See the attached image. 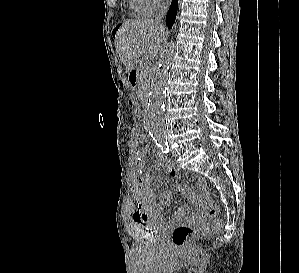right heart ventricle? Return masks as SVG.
<instances>
[{"instance_id":"right-heart-ventricle-1","label":"right heart ventricle","mask_w":299,"mask_h":273,"mask_svg":"<svg viewBox=\"0 0 299 273\" xmlns=\"http://www.w3.org/2000/svg\"><path fill=\"white\" fill-rule=\"evenodd\" d=\"M130 12L135 16H148L150 13L143 7L140 0H128Z\"/></svg>"}]
</instances>
